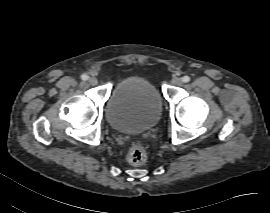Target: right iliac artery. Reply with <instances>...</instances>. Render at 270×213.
Segmentation results:
<instances>
[{"label": "right iliac artery", "instance_id": "1", "mask_svg": "<svg viewBox=\"0 0 270 213\" xmlns=\"http://www.w3.org/2000/svg\"><path fill=\"white\" fill-rule=\"evenodd\" d=\"M81 79H82L83 81H86V80H88V76H87L86 74H83V75L81 76Z\"/></svg>", "mask_w": 270, "mask_h": 213}]
</instances>
